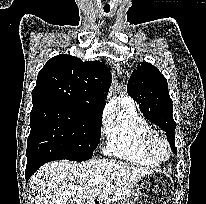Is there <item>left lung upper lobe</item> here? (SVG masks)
Listing matches in <instances>:
<instances>
[{"mask_svg":"<svg viewBox=\"0 0 206 204\" xmlns=\"http://www.w3.org/2000/svg\"><path fill=\"white\" fill-rule=\"evenodd\" d=\"M127 92L139 104L143 116L166 133L176 154V123L173 120V104L166 78L152 64L140 63L132 72Z\"/></svg>","mask_w":206,"mask_h":204,"instance_id":"1","label":"left lung upper lobe"}]
</instances>
